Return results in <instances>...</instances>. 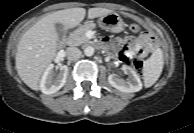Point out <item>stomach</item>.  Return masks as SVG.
Here are the masks:
<instances>
[{"label":"stomach","mask_w":194,"mask_h":133,"mask_svg":"<svg viewBox=\"0 0 194 133\" xmlns=\"http://www.w3.org/2000/svg\"><path fill=\"white\" fill-rule=\"evenodd\" d=\"M98 25L106 31L115 33L121 32L123 30V21L119 14L115 12L99 17Z\"/></svg>","instance_id":"stomach-1"}]
</instances>
